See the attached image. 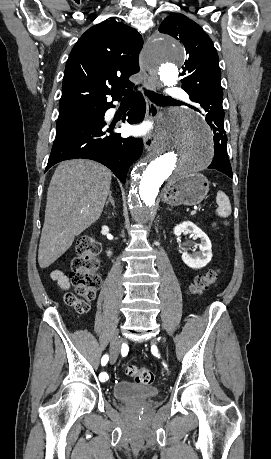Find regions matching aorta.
I'll use <instances>...</instances> for the list:
<instances>
[{
  "mask_svg": "<svg viewBox=\"0 0 271 459\" xmlns=\"http://www.w3.org/2000/svg\"><path fill=\"white\" fill-rule=\"evenodd\" d=\"M146 54L165 85L177 84V65L184 59L178 41L166 35L157 36L150 41ZM212 158L211 133L204 120L185 109H168L161 118L153 152L131 172L128 202L136 224L149 227L164 182L195 174L207 168Z\"/></svg>",
  "mask_w": 271,
  "mask_h": 459,
  "instance_id": "762f6f07",
  "label": "aorta"
}]
</instances>
